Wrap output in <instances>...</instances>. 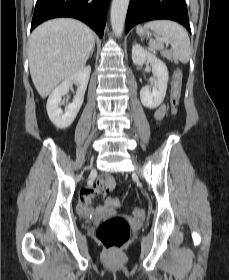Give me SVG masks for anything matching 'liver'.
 <instances>
[{"mask_svg": "<svg viewBox=\"0 0 229 280\" xmlns=\"http://www.w3.org/2000/svg\"><path fill=\"white\" fill-rule=\"evenodd\" d=\"M94 44L93 31L74 19H53L38 26L29 39V69L39 95L47 97L83 69Z\"/></svg>", "mask_w": 229, "mask_h": 280, "instance_id": "1", "label": "liver"}]
</instances>
